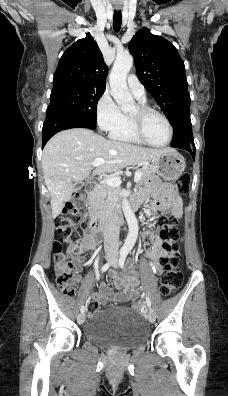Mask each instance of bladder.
<instances>
[{
	"label": "bladder",
	"instance_id": "bladder-1",
	"mask_svg": "<svg viewBox=\"0 0 228 396\" xmlns=\"http://www.w3.org/2000/svg\"><path fill=\"white\" fill-rule=\"evenodd\" d=\"M149 331L136 312L121 314L115 310L92 315L83 329L85 339L103 348L129 350L144 343Z\"/></svg>",
	"mask_w": 228,
	"mask_h": 396
}]
</instances>
